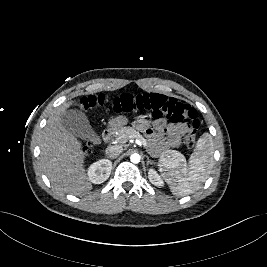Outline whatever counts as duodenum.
<instances>
[{
	"mask_svg": "<svg viewBox=\"0 0 267 267\" xmlns=\"http://www.w3.org/2000/svg\"><path fill=\"white\" fill-rule=\"evenodd\" d=\"M112 134H113V129L111 127L106 128L102 133V141L104 143L108 142L112 137Z\"/></svg>",
	"mask_w": 267,
	"mask_h": 267,
	"instance_id": "obj_1",
	"label": "duodenum"
}]
</instances>
